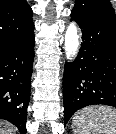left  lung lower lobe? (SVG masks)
Instances as JSON below:
<instances>
[{"instance_id":"obj_1","label":"left lung lower lobe","mask_w":116,"mask_h":134,"mask_svg":"<svg viewBox=\"0 0 116 134\" xmlns=\"http://www.w3.org/2000/svg\"><path fill=\"white\" fill-rule=\"evenodd\" d=\"M82 30L77 58L65 63L64 126L79 109L90 105L116 107V19L72 10Z\"/></svg>"}]
</instances>
